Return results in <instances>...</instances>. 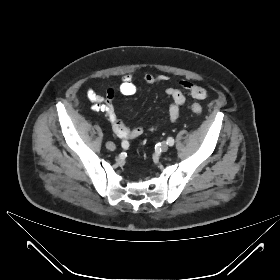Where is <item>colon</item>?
Segmentation results:
<instances>
[{
	"label": "colon",
	"instance_id": "5ec220e1",
	"mask_svg": "<svg viewBox=\"0 0 280 280\" xmlns=\"http://www.w3.org/2000/svg\"><path fill=\"white\" fill-rule=\"evenodd\" d=\"M191 110H192V112H194V113H201V112H202V107H201V105H199V104H193V105L191 106Z\"/></svg>",
	"mask_w": 280,
	"mask_h": 280
}]
</instances>
